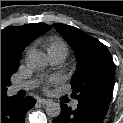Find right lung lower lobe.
<instances>
[{"instance_id": "obj_1", "label": "right lung lower lobe", "mask_w": 123, "mask_h": 123, "mask_svg": "<svg viewBox=\"0 0 123 123\" xmlns=\"http://www.w3.org/2000/svg\"><path fill=\"white\" fill-rule=\"evenodd\" d=\"M36 103L31 97L1 95V123H24L25 114Z\"/></svg>"}]
</instances>
